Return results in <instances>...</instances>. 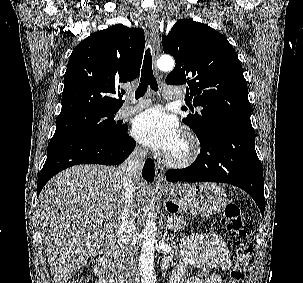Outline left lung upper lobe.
Returning a JSON list of instances; mask_svg holds the SVG:
<instances>
[{
    "label": "left lung upper lobe",
    "mask_w": 303,
    "mask_h": 283,
    "mask_svg": "<svg viewBox=\"0 0 303 283\" xmlns=\"http://www.w3.org/2000/svg\"><path fill=\"white\" fill-rule=\"evenodd\" d=\"M164 53L176 61L169 85H187L193 106L183 122L204 138L221 124L251 125V104L242 66L228 40L206 24L179 19L163 36ZM187 110V108H183Z\"/></svg>",
    "instance_id": "5c2ea615"
}]
</instances>
